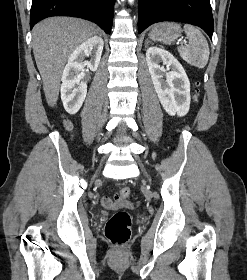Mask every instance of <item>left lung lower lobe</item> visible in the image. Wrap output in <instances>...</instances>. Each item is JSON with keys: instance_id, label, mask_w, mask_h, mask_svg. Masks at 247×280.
<instances>
[{"instance_id": "obj_1", "label": "left lung lower lobe", "mask_w": 247, "mask_h": 280, "mask_svg": "<svg viewBox=\"0 0 247 280\" xmlns=\"http://www.w3.org/2000/svg\"><path fill=\"white\" fill-rule=\"evenodd\" d=\"M138 32L153 23L180 21L202 28L212 39L210 0H138Z\"/></svg>"}]
</instances>
